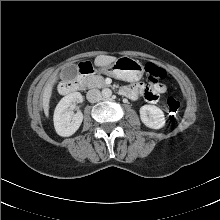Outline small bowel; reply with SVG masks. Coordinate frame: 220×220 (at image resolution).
Instances as JSON below:
<instances>
[{
  "mask_svg": "<svg viewBox=\"0 0 220 220\" xmlns=\"http://www.w3.org/2000/svg\"><path fill=\"white\" fill-rule=\"evenodd\" d=\"M166 90L162 84L146 86L143 83H137L133 86L123 88L122 93L128 97L135 99L138 95H144L145 99L150 103H156L159 96Z\"/></svg>",
  "mask_w": 220,
  "mask_h": 220,
  "instance_id": "c3829d8e",
  "label": "small bowel"
}]
</instances>
